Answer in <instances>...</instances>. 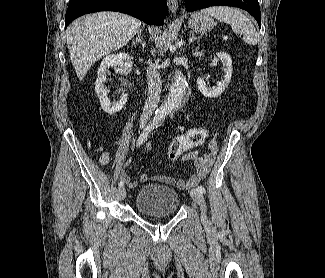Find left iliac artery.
I'll use <instances>...</instances> for the list:
<instances>
[{
	"label": "left iliac artery",
	"instance_id": "obj_1",
	"mask_svg": "<svg viewBox=\"0 0 325 278\" xmlns=\"http://www.w3.org/2000/svg\"><path fill=\"white\" fill-rule=\"evenodd\" d=\"M196 190H198V191L201 192V193H205V192H206V190H205V188H204L203 186H198V187L196 188Z\"/></svg>",
	"mask_w": 325,
	"mask_h": 278
}]
</instances>
